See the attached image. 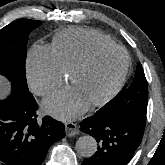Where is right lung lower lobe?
Segmentation results:
<instances>
[{"label":"right lung lower lobe","mask_w":165,"mask_h":165,"mask_svg":"<svg viewBox=\"0 0 165 165\" xmlns=\"http://www.w3.org/2000/svg\"><path fill=\"white\" fill-rule=\"evenodd\" d=\"M28 88L12 83L11 95L0 101V160L8 165H41L48 148L65 137L64 125L45 116Z\"/></svg>","instance_id":"right-lung-lower-lobe-1"}]
</instances>
